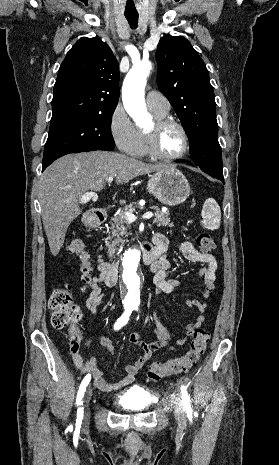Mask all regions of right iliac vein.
Listing matches in <instances>:
<instances>
[{
    "mask_svg": "<svg viewBox=\"0 0 279 465\" xmlns=\"http://www.w3.org/2000/svg\"><path fill=\"white\" fill-rule=\"evenodd\" d=\"M91 396H92V390L91 388L89 387L84 395V399H83V402H84V406L87 407L89 402H90V399H91ZM83 423L86 425L89 423V412L88 411H85L84 413V419H83Z\"/></svg>",
    "mask_w": 279,
    "mask_h": 465,
    "instance_id": "1",
    "label": "right iliac vein"
}]
</instances>
